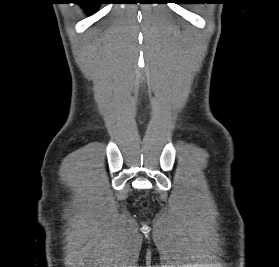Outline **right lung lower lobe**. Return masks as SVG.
<instances>
[{
	"instance_id": "1",
	"label": "right lung lower lobe",
	"mask_w": 279,
	"mask_h": 267,
	"mask_svg": "<svg viewBox=\"0 0 279 267\" xmlns=\"http://www.w3.org/2000/svg\"><path fill=\"white\" fill-rule=\"evenodd\" d=\"M78 3L81 4L87 11L92 12L96 9L98 4L103 3V0H80Z\"/></svg>"
}]
</instances>
